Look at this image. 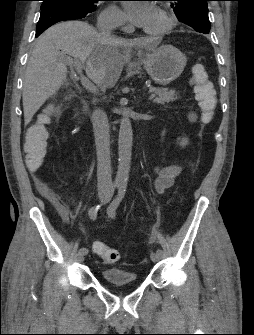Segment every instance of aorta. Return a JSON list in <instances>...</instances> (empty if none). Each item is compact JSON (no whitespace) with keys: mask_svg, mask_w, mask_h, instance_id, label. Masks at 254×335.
Segmentation results:
<instances>
[{"mask_svg":"<svg viewBox=\"0 0 254 335\" xmlns=\"http://www.w3.org/2000/svg\"><path fill=\"white\" fill-rule=\"evenodd\" d=\"M133 131L130 118L124 113L120 121L118 151L119 161L115 184L117 186H126L129 178L131 151H132Z\"/></svg>","mask_w":254,"mask_h":335,"instance_id":"obj_1","label":"aorta"}]
</instances>
